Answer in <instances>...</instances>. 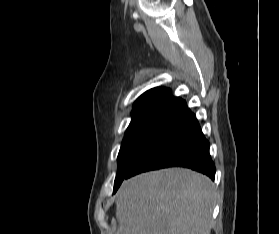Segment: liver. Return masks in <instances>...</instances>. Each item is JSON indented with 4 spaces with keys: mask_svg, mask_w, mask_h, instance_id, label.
<instances>
[{
    "mask_svg": "<svg viewBox=\"0 0 279 234\" xmlns=\"http://www.w3.org/2000/svg\"><path fill=\"white\" fill-rule=\"evenodd\" d=\"M214 184L199 173L170 168L122 183L117 234H210Z\"/></svg>",
    "mask_w": 279,
    "mask_h": 234,
    "instance_id": "6515ba94",
    "label": "liver"
}]
</instances>
